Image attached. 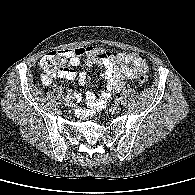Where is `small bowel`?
<instances>
[{
  "instance_id": "small-bowel-1",
  "label": "small bowel",
  "mask_w": 195,
  "mask_h": 195,
  "mask_svg": "<svg viewBox=\"0 0 195 195\" xmlns=\"http://www.w3.org/2000/svg\"><path fill=\"white\" fill-rule=\"evenodd\" d=\"M59 52L74 67H78L81 63V58L85 57L87 66L99 65L103 68V76L107 80V89L98 96L92 92L86 94L87 107L76 111V114L81 118L90 117L105 109L112 94L119 92L125 81L136 79L148 71L145 59L134 52L114 54L107 49L93 46ZM60 77L66 80L76 79L80 84H84L88 75L84 70L67 69L60 74Z\"/></svg>"
}]
</instances>
